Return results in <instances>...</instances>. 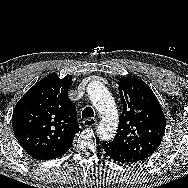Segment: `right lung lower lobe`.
Masks as SVG:
<instances>
[{"mask_svg": "<svg viewBox=\"0 0 188 188\" xmlns=\"http://www.w3.org/2000/svg\"><path fill=\"white\" fill-rule=\"evenodd\" d=\"M70 148L71 147L63 149V150H60V151H57V152H54V153H51V154H48V155H45V156L41 157L39 160L56 159V158L64 155Z\"/></svg>", "mask_w": 188, "mask_h": 188, "instance_id": "right-lung-lower-lobe-1", "label": "right lung lower lobe"}]
</instances>
